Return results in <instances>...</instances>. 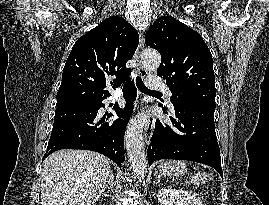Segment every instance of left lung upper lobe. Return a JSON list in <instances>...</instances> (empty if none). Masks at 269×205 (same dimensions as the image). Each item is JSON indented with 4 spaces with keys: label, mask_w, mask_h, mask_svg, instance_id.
Here are the masks:
<instances>
[{
    "label": "left lung upper lobe",
    "mask_w": 269,
    "mask_h": 205,
    "mask_svg": "<svg viewBox=\"0 0 269 205\" xmlns=\"http://www.w3.org/2000/svg\"><path fill=\"white\" fill-rule=\"evenodd\" d=\"M145 43L161 54L157 75L166 79L173 106L215 104L212 55L201 35L171 16L157 19Z\"/></svg>",
    "instance_id": "5c2ea615"
}]
</instances>
